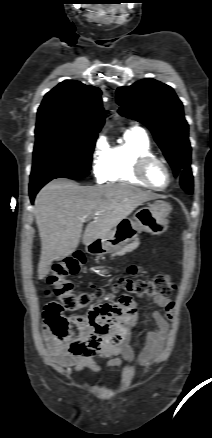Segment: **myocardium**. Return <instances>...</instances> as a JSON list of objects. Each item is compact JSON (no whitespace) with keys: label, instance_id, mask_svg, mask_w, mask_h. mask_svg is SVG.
Wrapping results in <instances>:
<instances>
[{"label":"myocardium","instance_id":"1","mask_svg":"<svg viewBox=\"0 0 212 438\" xmlns=\"http://www.w3.org/2000/svg\"><path fill=\"white\" fill-rule=\"evenodd\" d=\"M154 162L161 164L164 167V169L168 175V182L164 187H156L147 178V169ZM133 172H134L135 176L145 186H147L148 188H151L153 190H156V191H163V190H166L167 188H169V186L172 183V179H173L171 169H170L169 165L167 164V162L156 155L141 156L137 160Z\"/></svg>","mask_w":212,"mask_h":438}]
</instances>
